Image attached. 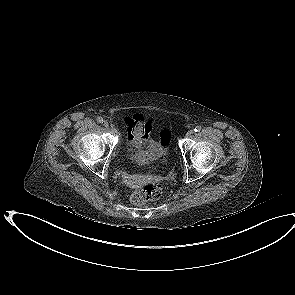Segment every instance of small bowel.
I'll return each mask as SVG.
<instances>
[{"mask_svg":"<svg viewBox=\"0 0 295 295\" xmlns=\"http://www.w3.org/2000/svg\"><path fill=\"white\" fill-rule=\"evenodd\" d=\"M129 129L128 149L139 150L142 145L150 138L152 130L151 122H144L140 115H136L126 120ZM149 174L140 172L136 175H128L126 183L128 185L139 184L147 181Z\"/></svg>","mask_w":295,"mask_h":295,"instance_id":"1","label":"small bowel"}]
</instances>
